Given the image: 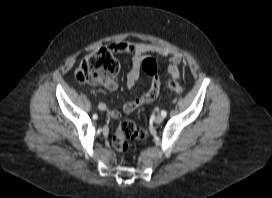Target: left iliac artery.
I'll return each instance as SVG.
<instances>
[{"label": "left iliac artery", "mask_w": 272, "mask_h": 198, "mask_svg": "<svg viewBox=\"0 0 272 198\" xmlns=\"http://www.w3.org/2000/svg\"><path fill=\"white\" fill-rule=\"evenodd\" d=\"M161 115H162L163 117H166V115H167L166 111L162 110V111H161Z\"/></svg>", "instance_id": "left-iliac-artery-1"}]
</instances>
